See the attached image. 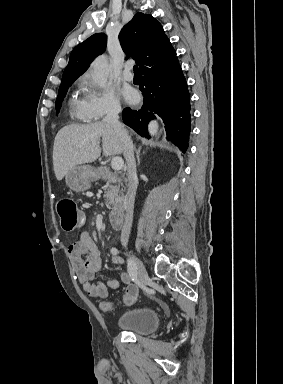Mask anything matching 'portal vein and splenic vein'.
<instances>
[{"label": "portal vein and splenic vein", "mask_w": 283, "mask_h": 384, "mask_svg": "<svg viewBox=\"0 0 283 384\" xmlns=\"http://www.w3.org/2000/svg\"><path fill=\"white\" fill-rule=\"evenodd\" d=\"M123 164L122 158H113L111 162L112 170H122Z\"/></svg>", "instance_id": "1"}]
</instances>
